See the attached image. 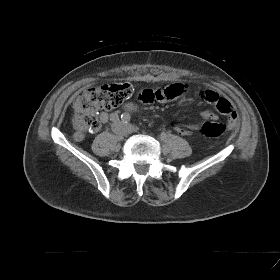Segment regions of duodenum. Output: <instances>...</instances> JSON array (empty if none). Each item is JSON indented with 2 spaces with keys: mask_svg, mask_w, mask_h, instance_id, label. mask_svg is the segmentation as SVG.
Segmentation results:
<instances>
[{
  "mask_svg": "<svg viewBox=\"0 0 280 280\" xmlns=\"http://www.w3.org/2000/svg\"><path fill=\"white\" fill-rule=\"evenodd\" d=\"M126 108L131 110V109H133V106L132 105H126Z\"/></svg>",
  "mask_w": 280,
  "mask_h": 280,
  "instance_id": "obj_1",
  "label": "duodenum"
}]
</instances>
